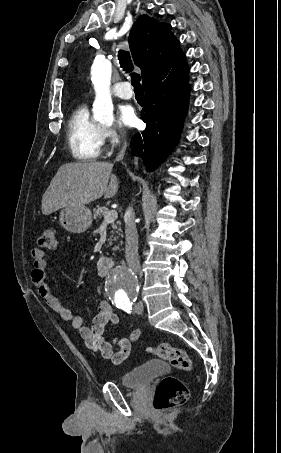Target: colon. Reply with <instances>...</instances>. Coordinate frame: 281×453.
Here are the masks:
<instances>
[{
    "label": "colon",
    "mask_w": 281,
    "mask_h": 453,
    "mask_svg": "<svg viewBox=\"0 0 281 453\" xmlns=\"http://www.w3.org/2000/svg\"><path fill=\"white\" fill-rule=\"evenodd\" d=\"M59 232L58 226L44 227L43 234L38 240L37 245H41L42 250L54 249L56 247V237ZM150 352L162 361L180 369L187 375H193L196 371L195 366L189 359L188 354L171 345L152 346ZM189 391L177 374L165 375L155 387L153 407L157 412H166L172 408L187 402Z\"/></svg>",
    "instance_id": "colon-1"
}]
</instances>
